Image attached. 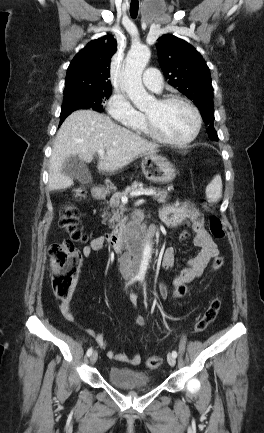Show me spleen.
<instances>
[{"mask_svg":"<svg viewBox=\"0 0 264 433\" xmlns=\"http://www.w3.org/2000/svg\"><path fill=\"white\" fill-rule=\"evenodd\" d=\"M206 196L211 202H217L222 197V179L216 175L206 187Z\"/></svg>","mask_w":264,"mask_h":433,"instance_id":"3e777b00","label":"spleen"}]
</instances>
